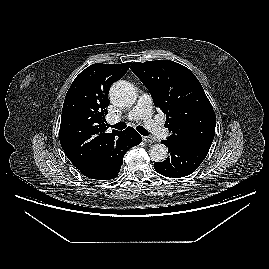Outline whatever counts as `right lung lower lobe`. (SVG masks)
<instances>
[{"instance_id":"98d812e1","label":"right lung lower lobe","mask_w":269,"mask_h":269,"mask_svg":"<svg viewBox=\"0 0 269 269\" xmlns=\"http://www.w3.org/2000/svg\"><path fill=\"white\" fill-rule=\"evenodd\" d=\"M141 140V135L132 127H128L120 132L115 149L100 162L98 167L80 170V172L91 179L110 180L116 178L125 153L133 146L140 144Z\"/></svg>"}]
</instances>
